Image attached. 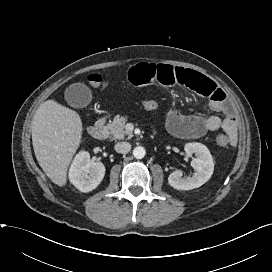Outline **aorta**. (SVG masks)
I'll return each mask as SVG.
<instances>
[{"instance_id": "1", "label": "aorta", "mask_w": 272, "mask_h": 272, "mask_svg": "<svg viewBox=\"0 0 272 272\" xmlns=\"http://www.w3.org/2000/svg\"><path fill=\"white\" fill-rule=\"evenodd\" d=\"M146 154V151L143 147L141 146H137L134 148L133 150V156L136 158V159H142L144 158Z\"/></svg>"}]
</instances>
